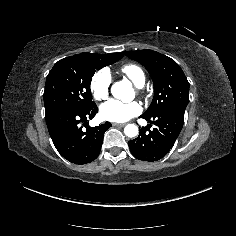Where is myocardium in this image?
I'll use <instances>...</instances> for the list:
<instances>
[{"label": "myocardium", "instance_id": "f54148a6", "mask_svg": "<svg viewBox=\"0 0 236 236\" xmlns=\"http://www.w3.org/2000/svg\"><path fill=\"white\" fill-rule=\"evenodd\" d=\"M136 91L138 94L140 93V86H136Z\"/></svg>", "mask_w": 236, "mask_h": 236}]
</instances>
